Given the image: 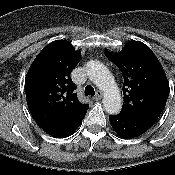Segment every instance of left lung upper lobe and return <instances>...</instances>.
I'll return each mask as SVG.
<instances>
[{"instance_id": "obj_1", "label": "left lung upper lobe", "mask_w": 175, "mask_h": 175, "mask_svg": "<svg viewBox=\"0 0 175 175\" xmlns=\"http://www.w3.org/2000/svg\"><path fill=\"white\" fill-rule=\"evenodd\" d=\"M104 53L124 77L121 113H161L169 96V83L152 50L144 43L133 40L117 54L108 50Z\"/></svg>"}]
</instances>
